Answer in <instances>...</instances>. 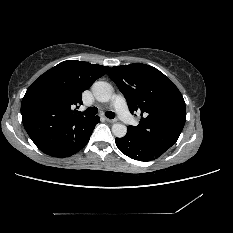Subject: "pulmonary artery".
Masks as SVG:
<instances>
[{
  "instance_id": "1",
  "label": "pulmonary artery",
  "mask_w": 233,
  "mask_h": 233,
  "mask_svg": "<svg viewBox=\"0 0 233 233\" xmlns=\"http://www.w3.org/2000/svg\"><path fill=\"white\" fill-rule=\"evenodd\" d=\"M112 103L114 107L116 108L122 121L127 125L132 124L133 116L127 109L124 98L121 95H116L114 96Z\"/></svg>"
}]
</instances>
